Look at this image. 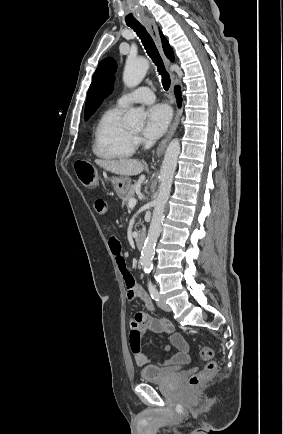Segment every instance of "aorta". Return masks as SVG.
Listing matches in <instances>:
<instances>
[{
    "instance_id": "obj_1",
    "label": "aorta",
    "mask_w": 283,
    "mask_h": 434,
    "mask_svg": "<svg viewBox=\"0 0 283 434\" xmlns=\"http://www.w3.org/2000/svg\"><path fill=\"white\" fill-rule=\"evenodd\" d=\"M149 68L146 58H128L123 72V81L128 87H136L144 79ZM145 112L141 109L131 108L124 117V125L130 128L140 129L143 127ZM180 153V142L173 139L165 152L164 160L160 169V186L155 201L153 216L145 240L140 262L145 273L152 270V260L155 254L156 242L162 230L164 209L168 202L177 160Z\"/></svg>"
}]
</instances>
